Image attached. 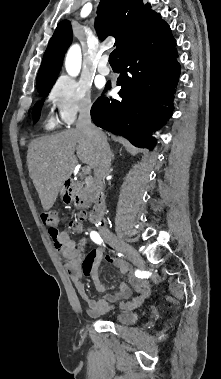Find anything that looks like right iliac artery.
Returning a JSON list of instances; mask_svg holds the SVG:
<instances>
[{"label": "right iliac artery", "instance_id": "right-iliac-artery-1", "mask_svg": "<svg viewBox=\"0 0 221 379\" xmlns=\"http://www.w3.org/2000/svg\"><path fill=\"white\" fill-rule=\"evenodd\" d=\"M90 237H91V239H92L95 243H97V244H99V245H104L102 238L100 237V235H99L96 231H92V232L90 233ZM118 256H122V254H121V253H118Z\"/></svg>", "mask_w": 221, "mask_h": 379}]
</instances>
